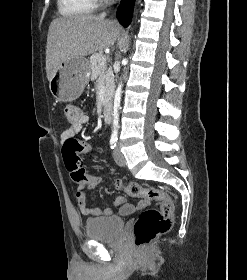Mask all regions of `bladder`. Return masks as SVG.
Returning a JSON list of instances; mask_svg holds the SVG:
<instances>
[{
  "mask_svg": "<svg viewBox=\"0 0 247 280\" xmlns=\"http://www.w3.org/2000/svg\"><path fill=\"white\" fill-rule=\"evenodd\" d=\"M124 220L118 216H102L85 221V235L90 240L111 242L119 238Z\"/></svg>",
  "mask_w": 247,
  "mask_h": 280,
  "instance_id": "31cf9c89",
  "label": "bladder"
}]
</instances>
